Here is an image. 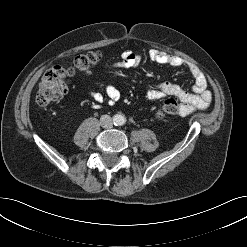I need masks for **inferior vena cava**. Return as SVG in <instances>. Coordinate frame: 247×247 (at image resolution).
I'll use <instances>...</instances> for the list:
<instances>
[{
    "label": "inferior vena cava",
    "mask_w": 247,
    "mask_h": 247,
    "mask_svg": "<svg viewBox=\"0 0 247 247\" xmlns=\"http://www.w3.org/2000/svg\"><path fill=\"white\" fill-rule=\"evenodd\" d=\"M100 124L103 128H111L113 126L112 118L109 115H102Z\"/></svg>",
    "instance_id": "obj_1"
}]
</instances>
